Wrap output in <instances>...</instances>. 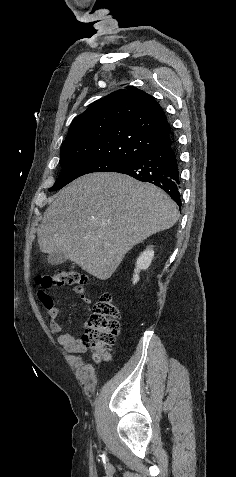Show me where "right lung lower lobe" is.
Instances as JSON below:
<instances>
[{
  "instance_id": "obj_1",
  "label": "right lung lower lobe",
  "mask_w": 236,
  "mask_h": 477,
  "mask_svg": "<svg viewBox=\"0 0 236 477\" xmlns=\"http://www.w3.org/2000/svg\"><path fill=\"white\" fill-rule=\"evenodd\" d=\"M114 172L127 174L139 181L160 187L181 206L178 162L171 140L128 162Z\"/></svg>"
}]
</instances>
